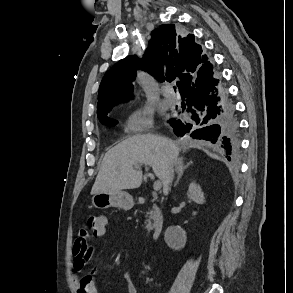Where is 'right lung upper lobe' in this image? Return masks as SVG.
Wrapping results in <instances>:
<instances>
[{
    "label": "right lung upper lobe",
    "instance_id": "obj_1",
    "mask_svg": "<svg viewBox=\"0 0 293 293\" xmlns=\"http://www.w3.org/2000/svg\"><path fill=\"white\" fill-rule=\"evenodd\" d=\"M207 60L201 46L195 43L194 35L181 38L174 24L161 25L152 32L142 61L136 55L128 56L106 72L98 92L97 116L107 114L113 105L129 99L137 69L149 72L159 81L177 78L181 92Z\"/></svg>",
    "mask_w": 293,
    "mask_h": 293
}]
</instances>
